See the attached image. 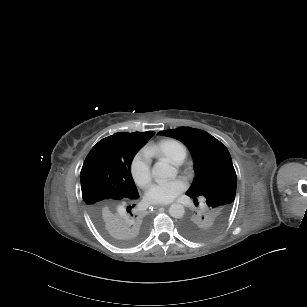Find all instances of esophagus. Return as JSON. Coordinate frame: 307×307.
I'll return each instance as SVG.
<instances>
[{"mask_svg": "<svg viewBox=\"0 0 307 307\" xmlns=\"http://www.w3.org/2000/svg\"><path fill=\"white\" fill-rule=\"evenodd\" d=\"M163 206V204H156V205H154L153 207L154 208H159V207H162Z\"/></svg>", "mask_w": 307, "mask_h": 307, "instance_id": "34e87169", "label": "esophagus"}]
</instances>
